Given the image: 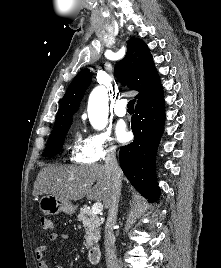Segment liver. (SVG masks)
<instances>
[{
	"label": "liver",
	"mask_w": 221,
	"mask_h": 268,
	"mask_svg": "<svg viewBox=\"0 0 221 268\" xmlns=\"http://www.w3.org/2000/svg\"><path fill=\"white\" fill-rule=\"evenodd\" d=\"M43 194H52L67 201L80 200L86 196L91 200L102 201L104 207L108 208L110 176L105 165L99 164L79 167L47 166L38 173L33 189V196Z\"/></svg>",
	"instance_id": "6515ba94"
}]
</instances>
